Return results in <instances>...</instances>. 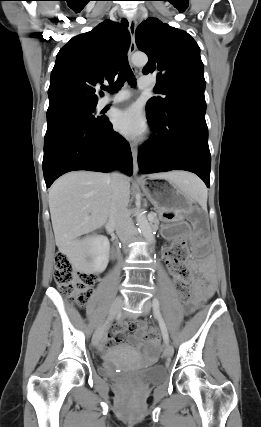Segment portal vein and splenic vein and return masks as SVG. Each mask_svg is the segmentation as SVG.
<instances>
[{"instance_id": "1", "label": "portal vein and splenic vein", "mask_w": 261, "mask_h": 427, "mask_svg": "<svg viewBox=\"0 0 261 427\" xmlns=\"http://www.w3.org/2000/svg\"><path fill=\"white\" fill-rule=\"evenodd\" d=\"M149 217H150V218L152 217V213H150V214H149Z\"/></svg>"}]
</instances>
